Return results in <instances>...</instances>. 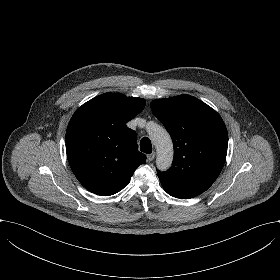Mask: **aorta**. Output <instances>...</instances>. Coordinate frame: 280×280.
<instances>
[{"label":"aorta","instance_id":"1","mask_svg":"<svg viewBox=\"0 0 280 280\" xmlns=\"http://www.w3.org/2000/svg\"><path fill=\"white\" fill-rule=\"evenodd\" d=\"M150 140L156 148V166L160 171H166L173 161V144L169 133L160 125L154 124L148 127Z\"/></svg>","mask_w":280,"mask_h":280}]
</instances>
